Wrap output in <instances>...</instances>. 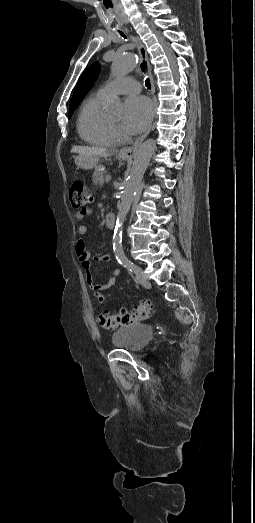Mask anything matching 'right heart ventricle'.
<instances>
[{
    "mask_svg": "<svg viewBox=\"0 0 255 523\" xmlns=\"http://www.w3.org/2000/svg\"><path fill=\"white\" fill-rule=\"evenodd\" d=\"M108 95L101 90L87 98L82 104L78 118V132L87 143L95 146H111L117 142L103 113Z\"/></svg>",
    "mask_w": 255,
    "mask_h": 523,
    "instance_id": "e07e8e85",
    "label": "right heart ventricle"
}]
</instances>
